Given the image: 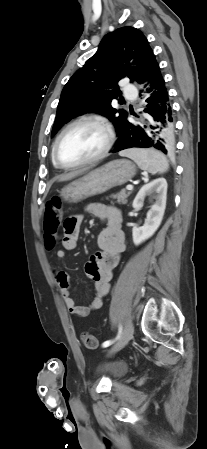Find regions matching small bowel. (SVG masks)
Masks as SVG:
<instances>
[{
  "label": "small bowel",
  "instance_id": "c3829d8e",
  "mask_svg": "<svg viewBox=\"0 0 207 449\" xmlns=\"http://www.w3.org/2000/svg\"><path fill=\"white\" fill-rule=\"evenodd\" d=\"M89 213L105 223V227L97 238L100 248L98 253L90 257L85 266L87 277L94 282V296L86 306L76 304L70 292L69 277L64 270L55 272V280L69 313L77 317H85L102 306L103 298L109 291L114 268L119 263L120 254L126 248L125 235L122 231V215L115 207L92 203ZM83 216L74 214L67 217L63 223L62 248L56 251V259L62 261L66 252L76 248Z\"/></svg>",
  "mask_w": 207,
  "mask_h": 449
}]
</instances>
